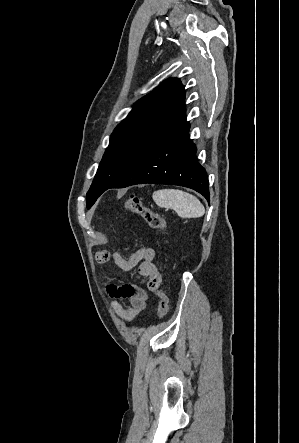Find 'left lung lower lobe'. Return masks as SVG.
<instances>
[{
  "mask_svg": "<svg viewBox=\"0 0 299 443\" xmlns=\"http://www.w3.org/2000/svg\"><path fill=\"white\" fill-rule=\"evenodd\" d=\"M189 129V123L183 121L109 188L141 183L173 184L194 189L208 199V178L197 161V149L190 140Z\"/></svg>",
  "mask_w": 299,
  "mask_h": 443,
  "instance_id": "1",
  "label": "left lung lower lobe"
}]
</instances>
